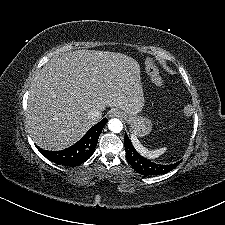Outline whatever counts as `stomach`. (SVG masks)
I'll list each match as a JSON object with an SVG mask.
<instances>
[{
	"label": "stomach",
	"mask_w": 225,
	"mask_h": 225,
	"mask_svg": "<svg viewBox=\"0 0 225 225\" xmlns=\"http://www.w3.org/2000/svg\"><path fill=\"white\" fill-rule=\"evenodd\" d=\"M126 120L131 126V131L137 136H145L152 130V122L148 118L128 114L124 111Z\"/></svg>",
	"instance_id": "0dacf381"
}]
</instances>
